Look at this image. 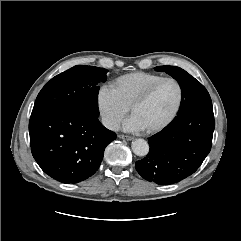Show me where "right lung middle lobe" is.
Listing matches in <instances>:
<instances>
[{"label":"right lung middle lobe","instance_id":"dd1d6c3e","mask_svg":"<svg viewBox=\"0 0 241 241\" xmlns=\"http://www.w3.org/2000/svg\"><path fill=\"white\" fill-rule=\"evenodd\" d=\"M107 71L104 68L77 65L58 74L38 94L32 114L73 109L98 117V84L106 81Z\"/></svg>","mask_w":241,"mask_h":241}]
</instances>
